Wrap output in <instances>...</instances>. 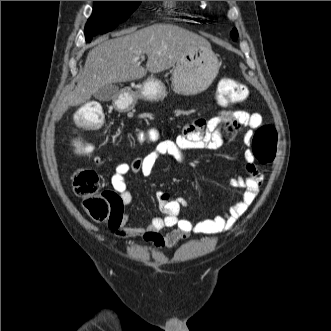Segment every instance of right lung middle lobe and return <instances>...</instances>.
I'll return each mask as SVG.
<instances>
[{
	"label": "right lung middle lobe",
	"mask_w": 331,
	"mask_h": 331,
	"mask_svg": "<svg viewBox=\"0 0 331 331\" xmlns=\"http://www.w3.org/2000/svg\"><path fill=\"white\" fill-rule=\"evenodd\" d=\"M141 1H95L92 16L85 26L87 42L97 34L113 30L125 21Z\"/></svg>",
	"instance_id": "dd1d6c3e"
}]
</instances>
